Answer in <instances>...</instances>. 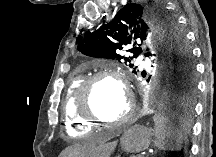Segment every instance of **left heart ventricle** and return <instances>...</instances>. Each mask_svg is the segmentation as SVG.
<instances>
[{
	"instance_id": "1",
	"label": "left heart ventricle",
	"mask_w": 216,
	"mask_h": 157,
	"mask_svg": "<svg viewBox=\"0 0 216 157\" xmlns=\"http://www.w3.org/2000/svg\"><path fill=\"white\" fill-rule=\"evenodd\" d=\"M91 100L94 113L107 122L118 120L128 106L122 89L110 79L101 80L94 85Z\"/></svg>"
}]
</instances>
